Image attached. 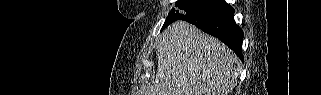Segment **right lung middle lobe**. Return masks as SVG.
Returning a JSON list of instances; mask_svg holds the SVG:
<instances>
[{"label":"right lung middle lobe","instance_id":"dd1d6c3e","mask_svg":"<svg viewBox=\"0 0 321 95\" xmlns=\"http://www.w3.org/2000/svg\"><path fill=\"white\" fill-rule=\"evenodd\" d=\"M213 1L214 0H178L175 3V6L178 9H172L169 12L161 30H163L172 22L201 10Z\"/></svg>","mask_w":321,"mask_h":95}]
</instances>
